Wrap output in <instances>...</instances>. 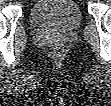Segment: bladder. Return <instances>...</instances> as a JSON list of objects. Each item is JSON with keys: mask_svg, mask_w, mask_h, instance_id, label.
Returning <instances> with one entry per match:
<instances>
[{"mask_svg": "<svg viewBox=\"0 0 111 106\" xmlns=\"http://www.w3.org/2000/svg\"><path fill=\"white\" fill-rule=\"evenodd\" d=\"M31 22L40 28L70 32L82 23V12L73 0H38L29 14Z\"/></svg>", "mask_w": 111, "mask_h": 106, "instance_id": "31cf9c89", "label": "bladder"}]
</instances>
